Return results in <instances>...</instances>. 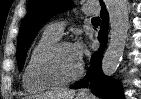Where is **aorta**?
Instances as JSON below:
<instances>
[{"instance_id":"obj_1","label":"aorta","mask_w":141,"mask_h":99,"mask_svg":"<svg viewBox=\"0 0 141 99\" xmlns=\"http://www.w3.org/2000/svg\"><path fill=\"white\" fill-rule=\"evenodd\" d=\"M110 22V42L102 59V71L112 76L120 65L129 28L127 0H105Z\"/></svg>"}]
</instances>
